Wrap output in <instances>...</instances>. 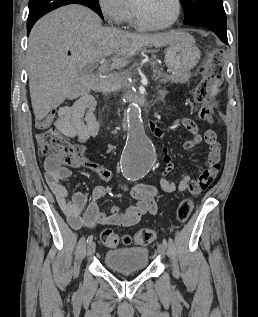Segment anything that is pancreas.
<instances>
[{
    "label": "pancreas",
    "instance_id": "obj_1",
    "mask_svg": "<svg viewBox=\"0 0 258 317\" xmlns=\"http://www.w3.org/2000/svg\"><path fill=\"white\" fill-rule=\"evenodd\" d=\"M158 81L161 82L162 84H171L173 82V79H171L170 77H162ZM113 83L117 84L116 88L118 90H123L125 88V80L124 79L120 80L119 77L110 78L109 81H105L104 86H97V88H106L108 84H113ZM126 89L131 91L132 90L131 84H126ZM155 92L160 93L161 96H166L168 93L166 89L160 86V84H155Z\"/></svg>",
    "mask_w": 258,
    "mask_h": 317
}]
</instances>
